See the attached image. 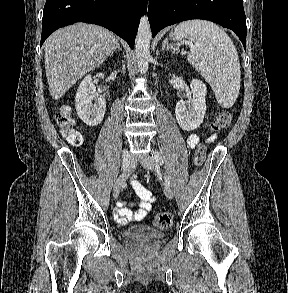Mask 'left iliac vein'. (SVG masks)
<instances>
[{
	"instance_id": "4c4485c4",
	"label": "left iliac vein",
	"mask_w": 288,
	"mask_h": 293,
	"mask_svg": "<svg viewBox=\"0 0 288 293\" xmlns=\"http://www.w3.org/2000/svg\"><path fill=\"white\" fill-rule=\"evenodd\" d=\"M140 162H141V165L144 168H146L147 170L155 171L156 168H157L156 162L150 156H146V157L142 158L140 160ZM164 193H165V195H166L167 198H169V199H172L173 198V191H172V189L170 187L165 186Z\"/></svg>"
}]
</instances>
